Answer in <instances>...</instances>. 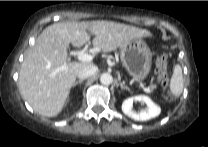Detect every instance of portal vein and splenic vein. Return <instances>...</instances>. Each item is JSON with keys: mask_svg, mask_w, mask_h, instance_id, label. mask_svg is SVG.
Instances as JSON below:
<instances>
[{"mask_svg": "<svg viewBox=\"0 0 208 147\" xmlns=\"http://www.w3.org/2000/svg\"><path fill=\"white\" fill-rule=\"evenodd\" d=\"M77 58L79 61L82 62H91L93 60V56L88 53L79 52L77 55ZM65 67H61L60 70H63ZM146 92H149L150 90L148 88H144Z\"/></svg>", "mask_w": 208, "mask_h": 147, "instance_id": "obj_1", "label": "portal vein and splenic vein"}]
</instances>
